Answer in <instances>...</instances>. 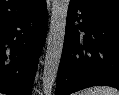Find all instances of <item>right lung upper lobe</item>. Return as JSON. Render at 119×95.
I'll return each mask as SVG.
<instances>
[{
  "instance_id": "1",
  "label": "right lung upper lobe",
  "mask_w": 119,
  "mask_h": 95,
  "mask_svg": "<svg viewBox=\"0 0 119 95\" xmlns=\"http://www.w3.org/2000/svg\"><path fill=\"white\" fill-rule=\"evenodd\" d=\"M44 0H0V25L34 10Z\"/></svg>"
}]
</instances>
